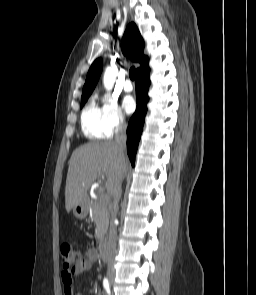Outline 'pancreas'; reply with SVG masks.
<instances>
[{
  "mask_svg": "<svg viewBox=\"0 0 256 295\" xmlns=\"http://www.w3.org/2000/svg\"><path fill=\"white\" fill-rule=\"evenodd\" d=\"M91 219L96 224L95 237L98 242H101L107 232L109 222V212L106 202L97 201L93 203Z\"/></svg>",
  "mask_w": 256,
  "mask_h": 295,
  "instance_id": "1",
  "label": "pancreas"
}]
</instances>
